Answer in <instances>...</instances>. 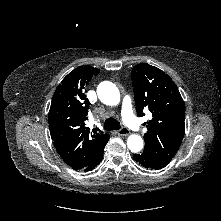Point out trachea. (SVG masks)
Listing matches in <instances>:
<instances>
[{"mask_svg":"<svg viewBox=\"0 0 221 221\" xmlns=\"http://www.w3.org/2000/svg\"><path fill=\"white\" fill-rule=\"evenodd\" d=\"M103 126L105 130H119L121 128L120 122L112 117L106 119Z\"/></svg>","mask_w":221,"mask_h":221,"instance_id":"obj_1","label":"trachea"}]
</instances>
